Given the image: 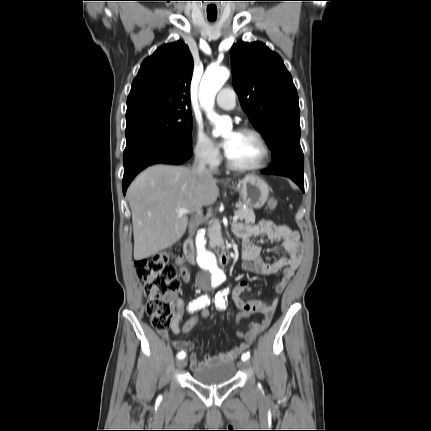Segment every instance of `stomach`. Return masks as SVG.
I'll return each instance as SVG.
<instances>
[{"label": "stomach", "mask_w": 431, "mask_h": 431, "mask_svg": "<svg viewBox=\"0 0 431 431\" xmlns=\"http://www.w3.org/2000/svg\"><path fill=\"white\" fill-rule=\"evenodd\" d=\"M235 189L244 204L251 208H261L268 199L269 186L268 184L256 176H246L232 186Z\"/></svg>", "instance_id": "obj_1"}]
</instances>
